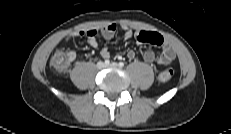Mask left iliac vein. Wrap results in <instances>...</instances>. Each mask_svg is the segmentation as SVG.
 <instances>
[{"label":"left iliac vein","instance_id":"4c4485c4","mask_svg":"<svg viewBox=\"0 0 231 134\" xmlns=\"http://www.w3.org/2000/svg\"><path fill=\"white\" fill-rule=\"evenodd\" d=\"M117 66H118V64H117V63H115V62H113V63L109 64V67H117Z\"/></svg>","mask_w":231,"mask_h":134}]
</instances>
